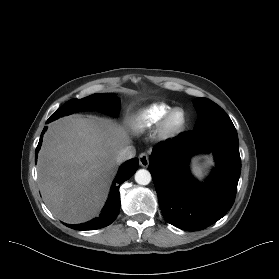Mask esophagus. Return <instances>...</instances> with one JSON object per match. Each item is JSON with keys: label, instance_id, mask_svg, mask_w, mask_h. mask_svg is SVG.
<instances>
[{"label": "esophagus", "instance_id": "obj_1", "mask_svg": "<svg viewBox=\"0 0 279 279\" xmlns=\"http://www.w3.org/2000/svg\"><path fill=\"white\" fill-rule=\"evenodd\" d=\"M139 163L142 167H148L149 157L146 153H142L139 155Z\"/></svg>", "mask_w": 279, "mask_h": 279}]
</instances>
